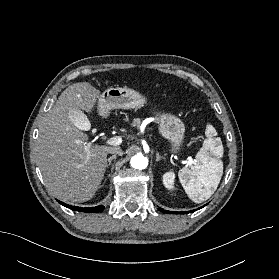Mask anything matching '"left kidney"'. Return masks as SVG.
<instances>
[{"mask_svg":"<svg viewBox=\"0 0 279 279\" xmlns=\"http://www.w3.org/2000/svg\"><path fill=\"white\" fill-rule=\"evenodd\" d=\"M174 180H175V174L172 171L166 172L163 175V184L168 190H174Z\"/></svg>","mask_w":279,"mask_h":279,"instance_id":"obj_1","label":"left kidney"}]
</instances>
